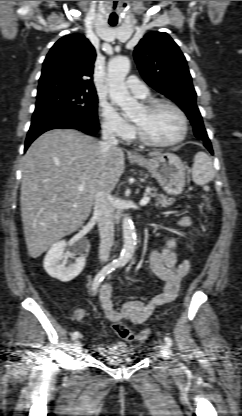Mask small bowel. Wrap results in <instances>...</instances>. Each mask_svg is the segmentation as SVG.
Segmentation results:
<instances>
[{
    "instance_id": "c3829d8e",
    "label": "small bowel",
    "mask_w": 242,
    "mask_h": 416,
    "mask_svg": "<svg viewBox=\"0 0 242 416\" xmlns=\"http://www.w3.org/2000/svg\"><path fill=\"white\" fill-rule=\"evenodd\" d=\"M190 223L191 217L189 215L183 216L178 222L183 227L188 226ZM149 265L153 273L166 282L164 291L154 296L150 301L130 300L120 303V308L116 309L111 284L105 283L100 287L99 298L101 307L105 318L109 322L126 320L134 325L144 323L156 307L171 302L176 298L181 279L188 274L191 262L188 259L178 262L175 252L164 247L151 253ZM85 315V310L78 308L74 312V319L78 322H83ZM123 345L122 342H117L109 348L99 346L97 352L101 355H108L118 351Z\"/></svg>"
}]
</instances>
